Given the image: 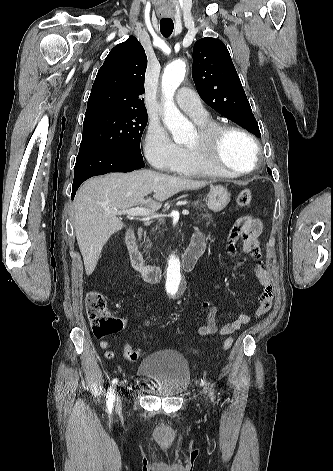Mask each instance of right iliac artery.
I'll return each instance as SVG.
<instances>
[{
    "label": "right iliac artery",
    "instance_id": "82829eb1",
    "mask_svg": "<svg viewBox=\"0 0 333 471\" xmlns=\"http://www.w3.org/2000/svg\"><path fill=\"white\" fill-rule=\"evenodd\" d=\"M118 382V379L115 378L112 380V383L108 389V393H107V406H108V410L111 411L112 408H113V403H114V399H115V389H116V384Z\"/></svg>",
    "mask_w": 333,
    "mask_h": 471
}]
</instances>
